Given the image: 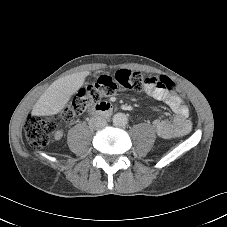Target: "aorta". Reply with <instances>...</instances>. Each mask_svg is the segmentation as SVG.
<instances>
[{
	"label": "aorta",
	"instance_id": "aorta-1",
	"mask_svg": "<svg viewBox=\"0 0 227 227\" xmlns=\"http://www.w3.org/2000/svg\"><path fill=\"white\" fill-rule=\"evenodd\" d=\"M113 123L117 126H125L128 123V118L124 113H117L113 116Z\"/></svg>",
	"mask_w": 227,
	"mask_h": 227
}]
</instances>
